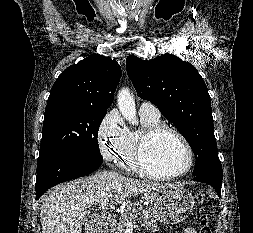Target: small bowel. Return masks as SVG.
Instances as JSON below:
<instances>
[{
	"mask_svg": "<svg viewBox=\"0 0 253 233\" xmlns=\"http://www.w3.org/2000/svg\"><path fill=\"white\" fill-rule=\"evenodd\" d=\"M184 233H197L194 228H187Z\"/></svg>",
	"mask_w": 253,
	"mask_h": 233,
	"instance_id": "small-bowel-1",
	"label": "small bowel"
}]
</instances>
